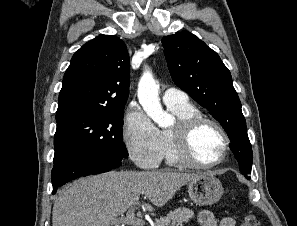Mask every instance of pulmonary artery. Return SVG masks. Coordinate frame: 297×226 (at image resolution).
Segmentation results:
<instances>
[{"mask_svg":"<svg viewBox=\"0 0 297 226\" xmlns=\"http://www.w3.org/2000/svg\"><path fill=\"white\" fill-rule=\"evenodd\" d=\"M162 100L167 106H187L190 104L187 93L177 88L166 89L163 92Z\"/></svg>","mask_w":297,"mask_h":226,"instance_id":"1","label":"pulmonary artery"}]
</instances>
